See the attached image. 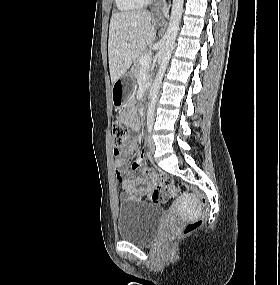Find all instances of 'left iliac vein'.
I'll return each mask as SVG.
<instances>
[{"instance_id":"1","label":"left iliac vein","mask_w":280,"mask_h":285,"mask_svg":"<svg viewBox=\"0 0 280 285\" xmlns=\"http://www.w3.org/2000/svg\"><path fill=\"white\" fill-rule=\"evenodd\" d=\"M147 143H148L149 152L153 153L155 150V144L151 135L148 136Z\"/></svg>"}]
</instances>
